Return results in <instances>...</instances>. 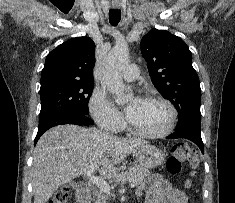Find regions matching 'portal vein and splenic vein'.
Listing matches in <instances>:
<instances>
[{
	"label": "portal vein and splenic vein",
	"mask_w": 235,
	"mask_h": 203,
	"mask_svg": "<svg viewBox=\"0 0 235 203\" xmlns=\"http://www.w3.org/2000/svg\"><path fill=\"white\" fill-rule=\"evenodd\" d=\"M97 165L92 166L89 170H87V172L85 173L86 177L88 178L89 182H91L93 185L97 186L98 188H100L101 191L110 194V186L109 184L103 180L100 177L95 176L93 173L96 170ZM136 186V184L134 182H132L130 184L131 188H134Z\"/></svg>",
	"instance_id": "1"
}]
</instances>
